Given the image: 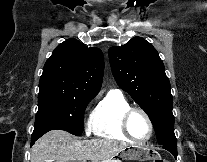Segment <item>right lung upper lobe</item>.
I'll return each instance as SVG.
<instances>
[{"instance_id": "1", "label": "right lung upper lobe", "mask_w": 207, "mask_h": 162, "mask_svg": "<svg viewBox=\"0 0 207 162\" xmlns=\"http://www.w3.org/2000/svg\"><path fill=\"white\" fill-rule=\"evenodd\" d=\"M103 71L102 51L71 38L59 44L46 61L39 89L95 96L101 88Z\"/></svg>"}]
</instances>
